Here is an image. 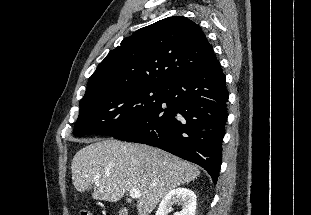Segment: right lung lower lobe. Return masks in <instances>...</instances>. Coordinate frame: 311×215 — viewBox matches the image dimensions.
I'll return each mask as SVG.
<instances>
[{"instance_id": "right-lung-lower-lobe-1", "label": "right lung lower lobe", "mask_w": 311, "mask_h": 215, "mask_svg": "<svg viewBox=\"0 0 311 215\" xmlns=\"http://www.w3.org/2000/svg\"><path fill=\"white\" fill-rule=\"evenodd\" d=\"M220 62L168 81L161 104L114 138L158 147L203 167L216 183L228 117Z\"/></svg>"}]
</instances>
